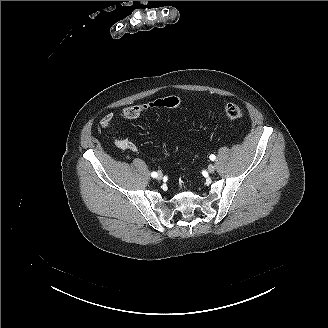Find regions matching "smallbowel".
Instances as JSON below:
<instances>
[{
	"instance_id": "obj_1",
	"label": "small bowel",
	"mask_w": 328,
	"mask_h": 328,
	"mask_svg": "<svg viewBox=\"0 0 328 328\" xmlns=\"http://www.w3.org/2000/svg\"><path fill=\"white\" fill-rule=\"evenodd\" d=\"M113 120H114L113 113H108L102 117V119L100 120V125L103 128H107L108 126H110ZM118 146L123 151H127V152H135L137 150V146L129 140H119Z\"/></svg>"
}]
</instances>
